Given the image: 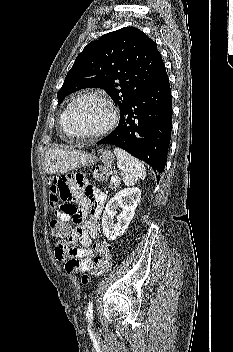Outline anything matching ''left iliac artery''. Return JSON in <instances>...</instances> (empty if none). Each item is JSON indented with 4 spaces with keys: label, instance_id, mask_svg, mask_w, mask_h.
Listing matches in <instances>:
<instances>
[{
    "label": "left iliac artery",
    "instance_id": "obj_1",
    "mask_svg": "<svg viewBox=\"0 0 233 352\" xmlns=\"http://www.w3.org/2000/svg\"><path fill=\"white\" fill-rule=\"evenodd\" d=\"M86 318L89 322L92 321L93 319V302L90 301L87 306V311H86Z\"/></svg>",
    "mask_w": 233,
    "mask_h": 352
}]
</instances>
